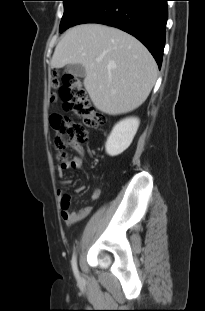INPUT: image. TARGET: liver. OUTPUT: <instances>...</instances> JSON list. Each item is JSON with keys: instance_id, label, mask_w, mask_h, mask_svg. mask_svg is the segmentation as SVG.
I'll list each match as a JSON object with an SVG mask.
<instances>
[{"instance_id": "obj_1", "label": "liver", "mask_w": 205, "mask_h": 311, "mask_svg": "<svg viewBox=\"0 0 205 311\" xmlns=\"http://www.w3.org/2000/svg\"><path fill=\"white\" fill-rule=\"evenodd\" d=\"M69 64L84 66V86L91 101L109 115L139 107L157 79V64L142 43L120 29L98 23L77 25L62 37L51 66L58 69Z\"/></svg>"}]
</instances>
